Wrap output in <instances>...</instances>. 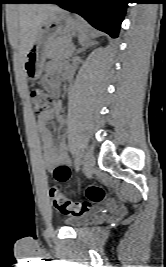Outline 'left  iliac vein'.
Instances as JSON below:
<instances>
[{
	"instance_id": "1",
	"label": "left iliac vein",
	"mask_w": 166,
	"mask_h": 267,
	"mask_svg": "<svg viewBox=\"0 0 166 267\" xmlns=\"http://www.w3.org/2000/svg\"><path fill=\"white\" fill-rule=\"evenodd\" d=\"M84 170L87 175H91L95 166V157L91 151H86L83 158Z\"/></svg>"
}]
</instances>
